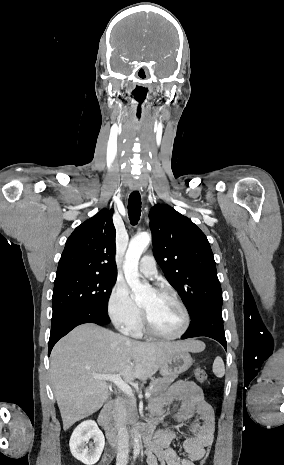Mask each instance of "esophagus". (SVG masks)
<instances>
[{
	"instance_id": "obj_1",
	"label": "esophagus",
	"mask_w": 284,
	"mask_h": 465,
	"mask_svg": "<svg viewBox=\"0 0 284 465\" xmlns=\"http://www.w3.org/2000/svg\"><path fill=\"white\" fill-rule=\"evenodd\" d=\"M130 189H131L132 191H134V190L137 191V190L140 189L139 184L137 183V181H133V182H132V184H131V186H130Z\"/></svg>"
}]
</instances>
